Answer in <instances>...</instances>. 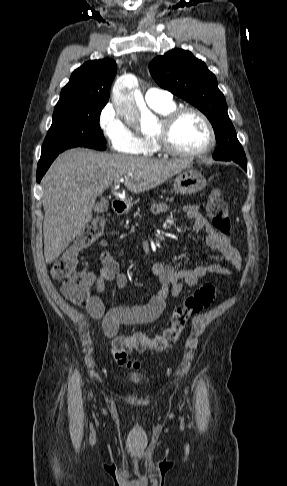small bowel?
Segmentation results:
<instances>
[{
  "instance_id": "1",
  "label": "small bowel",
  "mask_w": 287,
  "mask_h": 486,
  "mask_svg": "<svg viewBox=\"0 0 287 486\" xmlns=\"http://www.w3.org/2000/svg\"><path fill=\"white\" fill-rule=\"evenodd\" d=\"M167 210L168 207L162 203L154 204L152 207L155 215H163ZM184 212L187 218L193 221V230L196 233H205L206 244L214 253L195 267L177 269L162 261L154 262L152 270L158 278L159 289L147 303L105 310L102 294L107 283L114 281L119 288H123L127 284V276L108 250L109 241L100 240L99 245L103 249L100 254L102 267L93 277L95 291L90 295L85 307L92 318L102 321L103 331L107 337H115L121 326L149 324L157 320L164 311L169 296L178 297L184 286L197 285L205 275H230L240 269L241 255L232 246L229 237L213 230L198 206L187 205Z\"/></svg>"
}]
</instances>
